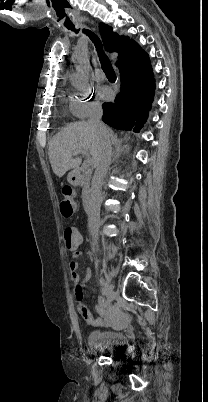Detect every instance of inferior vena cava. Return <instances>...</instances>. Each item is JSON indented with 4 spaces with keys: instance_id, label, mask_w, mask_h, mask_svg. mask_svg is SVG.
Masks as SVG:
<instances>
[{
    "instance_id": "obj_1",
    "label": "inferior vena cava",
    "mask_w": 208,
    "mask_h": 402,
    "mask_svg": "<svg viewBox=\"0 0 208 402\" xmlns=\"http://www.w3.org/2000/svg\"><path fill=\"white\" fill-rule=\"evenodd\" d=\"M103 116V110L101 104H93L90 118L87 120L88 124L97 126L102 132H106V128L102 122H100ZM111 162V142L110 138L103 140L100 148L98 160L96 162V170L92 178L91 190H90V202L87 210L88 214V228L92 236L94 244H97L98 230L100 226V208L102 202V186L104 178L108 172V168Z\"/></svg>"
}]
</instances>
